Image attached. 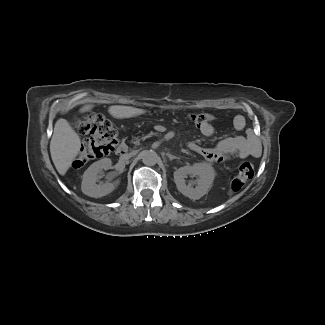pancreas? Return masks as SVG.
Wrapping results in <instances>:
<instances>
[{
    "label": "pancreas",
    "mask_w": 325,
    "mask_h": 325,
    "mask_svg": "<svg viewBox=\"0 0 325 325\" xmlns=\"http://www.w3.org/2000/svg\"><path fill=\"white\" fill-rule=\"evenodd\" d=\"M144 137L145 138H151L152 137V134L151 133H145L144 134ZM143 141H144V138L143 137H140L139 139H134L133 140V143H134L135 146H138Z\"/></svg>",
    "instance_id": "obj_1"
}]
</instances>
